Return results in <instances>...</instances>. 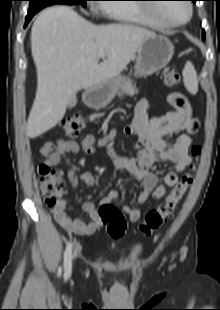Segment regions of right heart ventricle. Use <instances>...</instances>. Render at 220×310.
Returning <instances> with one entry per match:
<instances>
[{"label": "right heart ventricle", "mask_w": 220, "mask_h": 310, "mask_svg": "<svg viewBox=\"0 0 220 310\" xmlns=\"http://www.w3.org/2000/svg\"><path fill=\"white\" fill-rule=\"evenodd\" d=\"M104 11L120 22L155 29L166 28V26L150 16L145 8L139 6L110 4L104 8Z\"/></svg>", "instance_id": "1"}]
</instances>
